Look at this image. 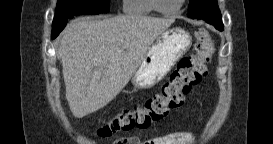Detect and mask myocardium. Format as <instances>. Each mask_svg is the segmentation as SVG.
I'll use <instances>...</instances> for the list:
<instances>
[{
  "label": "myocardium",
  "instance_id": "obj_1",
  "mask_svg": "<svg viewBox=\"0 0 273 144\" xmlns=\"http://www.w3.org/2000/svg\"><path fill=\"white\" fill-rule=\"evenodd\" d=\"M184 2H185V0H180L178 6L176 8L169 9V10L163 9L160 6V0H151V5H152L153 10H155L156 12H158L160 14L172 15V14L177 13L181 9Z\"/></svg>",
  "mask_w": 273,
  "mask_h": 144
}]
</instances>
